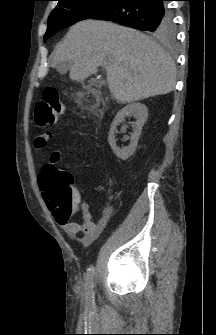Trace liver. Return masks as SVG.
<instances>
[{"label":"liver","mask_w":216,"mask_h":335,"mask_svg":"<svg viewBox=\"0 0 216 335\" xmlns=\"http://www.w3.org/2000/svg\"><path fill=\"white\" fill-rule=\"evenodd\" d=\"M52 63L68 66L75 81L105 66L110 92L121 104L170 93L176 83L175 63L160 45L135 29L106 21L73 25Z\"/></svg>","instance_id":"liver-1"}]
</instances>
